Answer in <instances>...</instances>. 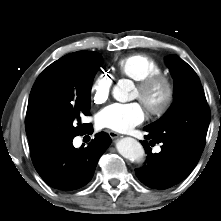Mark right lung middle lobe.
Masks as SVG:
<instances>
[{
	"label": "right lung middle lobe",
	"mask_w": 221,
	"mask_h": 221,
	"mask_svg": "<svg viewBox=\"0 0 221 221\" xmlns=\"http://www.w3.org/2000/svg\"><path fill=\"white\" fill-rule=\"evenodd\" d=\"M103 61L101 54L87 52L80 58L48 66L35 81L26 113L30 147L72 140L88 124L91 87Z\"/></svg>",
	"instance_id": "obj_1"
}]
</instances>
